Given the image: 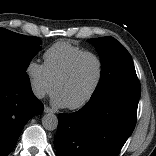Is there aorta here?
Masks as SVG:
<instances>
[{"label": "aorta", "mask_w": 156, "mask_h": 156, "mask_svg": "<svg viewBox=\"0 0 156 156\" xmlns=\"http://www.w3.org/2000/svg\"><path fill=\"white\" fill-rule=\"evenodd\" d=\"M42 125L48 131H53L57 129L58 126L57 116L52 113L45 114L42 118Z\"/></svg>", "instance_id": "1"}]
</instances>
